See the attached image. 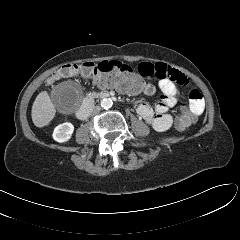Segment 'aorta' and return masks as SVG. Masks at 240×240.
<instances>
[{
    "label": "aorta",
    "instance_id": "aorta-1",
    "mask_svg": "<svg viewBox=\"0 0 240 240\" xmlns=\"http://www.w3.org/2000/svg\"><path fill=\"white\" fill-rule=\"evenodd\" d=\"M113 105V101L111 98H104L102 101H101V106L104 108V109H109L111 108Z\"/></svg>",
    "mask_w": 240,
    "mask_h": 240
}]
</instances>
